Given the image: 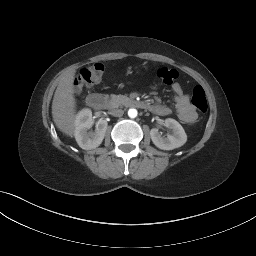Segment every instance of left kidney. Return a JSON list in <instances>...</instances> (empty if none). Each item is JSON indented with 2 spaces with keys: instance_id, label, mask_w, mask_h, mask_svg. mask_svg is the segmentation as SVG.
<instances>
[{
  "instance_id": "1",
  "label": "left kidney",
  "mask_w": 256,
  "mask_h": 256,
  "mask_svg": "<svg viewBox=\"0 0 256 256\" xmlns=\"http://www.w3.org/2000/svg\"><path fill=\"white\" fill-rule=\"evenodd\" d=\"M164 125L172 131L167 137L162 136L156 128L150 131L152 142L156 147L162 150H173L186 143L187 135L179 122L175 119L167 118L164 121Z\"/></svg>"
}]
</instances>
